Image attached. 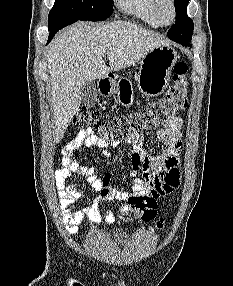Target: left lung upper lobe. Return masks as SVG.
Returning <instances> with one entry per match:
<instances>
[{
  "mask_svg": "<svg viewBox=\"0 0 233 286\" xmlns=\"http://www.w3.org/2000/svg\"><path fill=\"white\" fill-rule=\"evenodd\" d=\"M189 0H174L176 10L175 24L169 29L167 35L173 41H191L193 34V21L187 16Z\"/></svg>",
  "mask_w": 233,
  "mask_h": 286,
  "instance_id": "1",
  "label": "left lung upper lobe"
}]
</instances>
